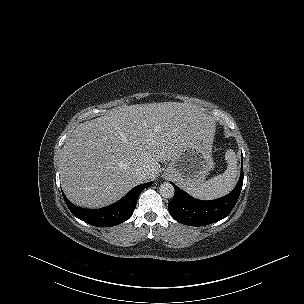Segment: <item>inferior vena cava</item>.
I'll list each match as a JSON object with an SVG mask.
<instances>
[{
  "mask_svg": "<svg viewBox=\"0 0 304 304\" xmlns=\"http://www.w3.org/2000/svg\"><path fill=\"white\" fill-rule=\"evenodd\" d=\"M136 175L141 181H145L148 179L149 172L147 169L144 168H137L136 169Z\"/></svg>",
  "mask_w": 304,
  "mask_h": 304,
  "instance_id": "602c4592",
  "label": "inferior vena cava"
}]
</instances>
